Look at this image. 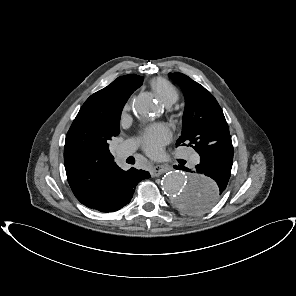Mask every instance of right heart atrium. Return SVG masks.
<instances>
[{"label": "right heart atrium", "mask_w": 296, "mask_h": 296, "mask_svg": "<svg viewBox=\"0 0 296 296\" xmlns=\"http://www.w3.org/2000/svg\"><path fill=\"white\" fill-rule=\"evenodd\" d=\"M130 110V104L127 103L124 105L123 110H122V117H125L128 113V111Z\"/></svg>", "instance_id": "right-heart-atrium-1"}]
</instances>
